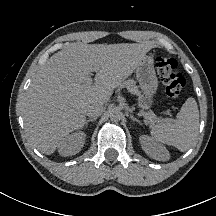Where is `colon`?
<instances>
[{
	"mask_svg": "<svg viewBox=\"0 0 216 216\" xmlns=\"http://www.w3.org/2000/svg\"><path fill=\"white\" fill-rule=\"evenodd\" d=\"M178 63L170 56L156 58V70L169 97H177L186 85L185 78L177 71Z\"/></svg>",
	"mask_w": 216,
	"mask_h": 216,
	"instance_id": "obj_1",
	"label": "colon"
}]
</instances>
